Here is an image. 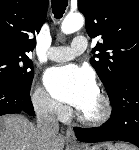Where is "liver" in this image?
Masks as SVG:
<instances>
[{
    "label": "liver",
    "instance_id": "6515ba94",
    "mask_svg": "<svg viewBox=\"0 0 139 150\" xmlns=\"http://www.w3.org/2000/svg\"><path fill=\"white\" fill-rule=\"evenodd\" d=\"M64 139L56 136L48 144L38 129L21 115L0 117V150H63Z\"/></svg>",
    "mask_w": 139,
    "mask_h": 150
}]
</instances>
